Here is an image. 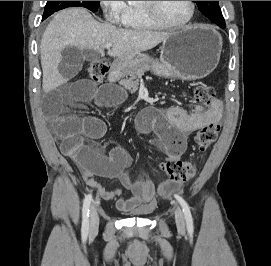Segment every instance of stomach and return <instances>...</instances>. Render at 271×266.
I'll list each match as a JSON object with an SVG mask.
<instances>
[{"label": "stomach", "instance_id": "1", "mask_svg": "<svg viewBox=\"0 0 271 266\" xmlns=\"http://www.w3.org/2000/svg\"><path fill=\"white\" fill-rule=\"evenodd\" d=\"M221 50L222 37L217 31L205 25H190L163 40L159 61L136 53L119 57L117 64L127 71L151 64L165 76L196 80L206 77L217 67Z\"/></svg>", "mask_w": 271, "mask_h": 266}]
</instances>
